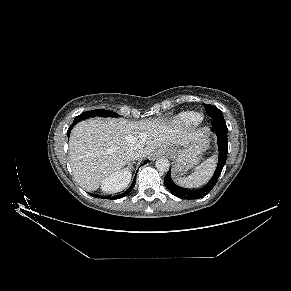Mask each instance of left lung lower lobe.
<instances>
[{
	"label": "left lung lower lobe",
	"instance_id": "0a47b994",
	"mask_svg": "<svg viewBox=\"0 0 291 291\" xmlns=\"http://www.w3.org/2000/svg\"><path fill=\"white\" fill-rule=\"evenodd\" d=\"M212 131L216 134L218 142L219 157L217 167L215 169L213 176L205 186L197 190L189 191L191 193L192 199L202 198L212 190V188L216 185L218 181V178L222 172V169L227 159L228 141L226 123L212 121ZM164 184L174 196L182 198L181 193L185 189L180 188L172 181L170 170L168 171L164 178Z\"/></svg>",
	"mask_w": 291,
	"mask_h": 291
}]
</instances>
